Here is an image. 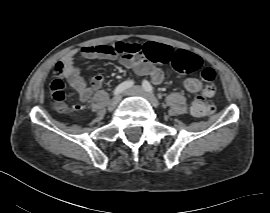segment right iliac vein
I'll return each mask as SVG.
<instances>
[{"mask_svg":"<svg viewBox=\"0 0 270 213\" xmlns=\"http://www.w3.org/2000/svg\"><path fill=\"white\" fill-rule=\"evenodd\" d=\"M121 100V96L120 95H116L112 98V100L110 101V103L108 104V110L112 111L114 110L117 105L119 104Z\"/></svg>","mask_w":270,"mask_h":213,"instance_id":"obj_1","label":"right iliac vein"}]
</instances>
